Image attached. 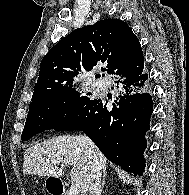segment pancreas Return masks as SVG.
I'll use <instances>...</instances> for the list:
<instances>
[{"mask_svg":"<svg viewBox=\"0 0 189 195\" xmlns=\"http://www.w3.org/2000/svg\"><path fill=\"white\" fill-rule=\"evenodd\" d=\"M66 195H70V193L69 192H67V194Z\"/></svg>","mask_w":189,"mask_h":195,"instance_id":"1","label":"pancreas"}]
</instances>
